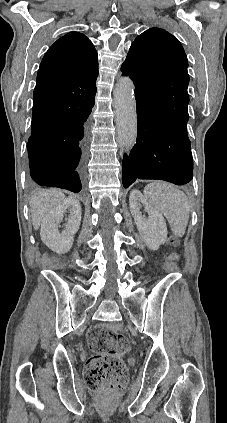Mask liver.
Returning <instances> with one entry per match:
<instances>
[{
    "label": "liver",
    "mask_w": 227,
    "mask_h": 423,
    "mask_svg": "<svg viewBox=\"0 0 227 423\" xmlns=\"http://www.w3.org/2000/svg\"><path fill=\"white\" fill-rule=\"evenodd\" d=\"M65 196L60 190H42L30 198L31 219L34 229H39L40 223L47 211L52 210L56 204H61Z\"/></svg>",
    "instance_id": "1"
}]
</instances>
